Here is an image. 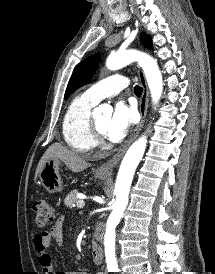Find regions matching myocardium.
Masks as SVG:
<instances>
[{"label":"myocardium","instance_id":"obj_1","mask_svg":"<svg viewBox=\"0 0 215 274\" xmlns=\"http://www.w3.org/2000/svg\"><path fill=\"white\" fill-rule=\"evenodd\" d=\"M90 130L94 136V138H101L103 136V132H101L94 120V118H90Z\"/></svg>","mask_w":215,"mask_h":274}]
</instances>
